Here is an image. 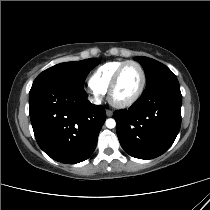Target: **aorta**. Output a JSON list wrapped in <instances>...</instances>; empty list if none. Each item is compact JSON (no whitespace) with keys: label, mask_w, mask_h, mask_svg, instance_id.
Segmentation results:
<instances>
[{"label":"aorta","mask_w":210,"mask_h":210,"mask_svg":"<svg viewBox=\"0 0 210 210\" xmlns=\"http://www.w3.org/2000/svg\"><path fill=\"white\" fill-rule=\"evenodd\" d=\"M106 126L110 129L114 128L116 126V122L114 119L110 118L106 120Z\"/></svg>","instance_id":"762f6f07"}]
</instances>
